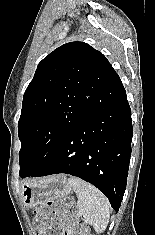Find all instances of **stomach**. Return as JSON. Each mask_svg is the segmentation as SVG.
<instances>
[{
  "instance_id": "stomach-1",
  "label": "stomach",
  "mask_w": 155,
  "mask_h": 235,
  "mask_svg": "<svg viewBox=\"0 0 155 235\" xmlns=\"http://www.w3.org/2000/svg\"><path fill=\"white\" fill-rule=\"evenodd\" d=\"M72 192L65 176L57 175L42 180L26 182L22 185L21 195L26 207L62 198Z\"/></svg>"
}]
</instances>
